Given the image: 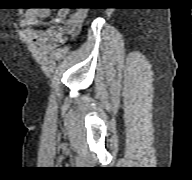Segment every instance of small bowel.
<instances>
[{"label":"small bowel","mask_w":192,"mask_h":180,"mask_svg":"<svg viewBox=\"0 0 192 180\" xmlns=\"http://www.w3.org/2000/svg\"><path fill=\"white\" fill-rule=\"evenodd\" d=\"M50 13L51 11L47 8L30 9L25 14L26 24L28 26H34L38 24L41 19L48 17ZM55 22L58 24L64 23V25L50 27L41 31L30 30L27 33L44 51L52 50L56 42L63 40L65 36L76 35L84 24V14L76 12L68 17L67 11L59 10Z\"/></svg>","instance_id":"1"}]
</instances>
